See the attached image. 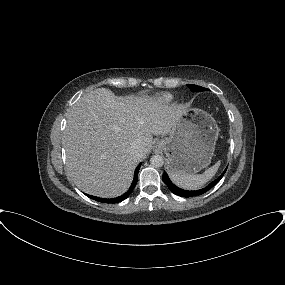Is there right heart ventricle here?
<instances>
[{
	"label": "right heart ventricle",
	"instance_id": "1",
	"mask_svg": "<svg viewBox=\"0 0 285 285\" xmlns=\"http://www.w3.org/2000/svg\"><path fill=\"white\" fill-rule=\"evenodd\" d=\"M162 99L166 102H169L171 100V96L170 95H164Z\"/></svg>",
	"mask_w": 285,
	"mask_h": 285
}]
</instances>
